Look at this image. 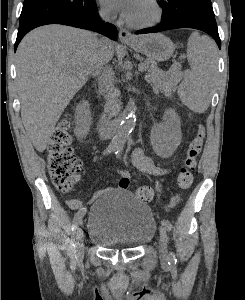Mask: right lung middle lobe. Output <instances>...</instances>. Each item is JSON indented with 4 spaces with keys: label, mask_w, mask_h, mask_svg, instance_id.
I'll list each match as a JSON object with an SVG mask.
<instances>
[{
    "label": "right lung middle lobe",
    "mask_w": 245,
    "mask_h": 300,
    "mask_svg": "<svg viewBox=\"0 0 245 300\" xmlns=\"http://www.w3.org/2000/svg\"><path fill=\"white\" fill-rule=\"evenodd\" d=\"M97 9L95 0H25L19 30L61 17L85 16Z\"/></svg>",
    "instance_id": "obj_1"
}]
</instances>
